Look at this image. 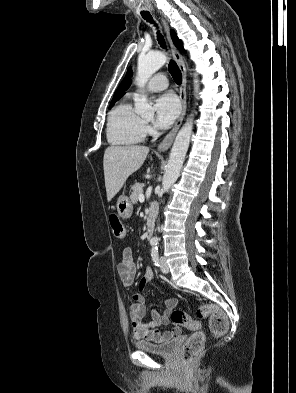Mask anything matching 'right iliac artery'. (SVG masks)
I'll list each match as a JSON object with an SVG mask.
<instances>
[{"label": "right iliac artery", "mask_w": 296, "mask_h": 393, "mask_svg": "<svg viewBox=\"0 0 296 393\" xmlns=\"http://www.w3.org/2000/svg\"><path fill=\"white\" fill-rule=\"evenodd\" d=\"M150 243H151V245H153V246H154V245H157V242H155V241H151Z\"/></svg>", "instance_id": "right-iliac-artery-1"}]
</instances>
